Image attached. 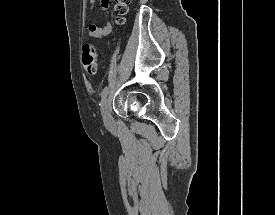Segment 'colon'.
<instances>
[{
  "mask_svg": "<svg viewBox=\"0 0 275 215\" xmlns=\"http://www.w3.org/2000/svg\"><path fill=\"white\" fill-rule=\"evenodd\" d=\"M130 2L131 0H115V13L119 23L123 22V16L128 12ZM81 59L85 72L89 75H95L98 71L99 52L94 43H84Z\"/></svg>",
  "mask_w": 275,
  "mask_h": 215,
  "instance_id": "5ec220e1",
  "label": "colon"
}]
</instances>
